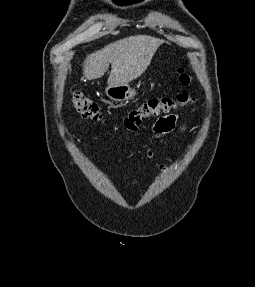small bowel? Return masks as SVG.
<instances>
[{
  "instance_id": "1",
  "label": "small bowel",
  "mask_w": 255,
  "mask_h": 287,
  "mask_svg": "<svg viewBox=\"0 0 255 287\" xmlns=\"http://www.w3.org/2000/svg\"><path fill=\"white\" fill-rule=\"evenodd\" d=\"M178 124V116L176 115H166L164 117H160L153 126V137L152 139H159L169 135ZM147 158L149 160H153V153L150 147H147ZM158 170L163 171L166 167L162 164H156Z\"/></svg>"
}]
</instances>
